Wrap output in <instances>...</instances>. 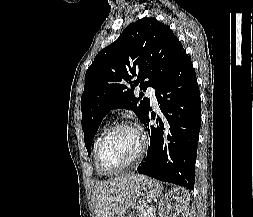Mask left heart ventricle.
<instances>
[{
    "instance_id": "b2bd125f",
    "label": "left heart ventricle",
    "mask_w": 253,
    "mask_h": 217,
    "mask_svg": "<svg viewBox=\"0 0 253 217\" xmlns=\"http://www.w3.org/2000/svg\"><path fill=\"white\" fill-rule=\"evenodd\" d=\"M139 150V137L134 130L122 128L114 131L105 141L101 162L108 170L129 163Z\"/></svg>"
}]
</instances>
